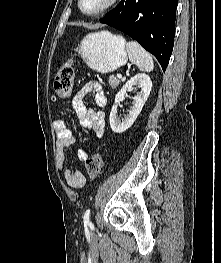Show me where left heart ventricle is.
<instances>
[{
    "instance_id": "1",
    "label": "left heart ventricle",
    "mask_w": 221,
    "mask_h": 263,
    "mask_svg": "<svg viewBox=\"0 0 221 263\" xmlns=\"http://www.w3.org/2000/svg\"><path fill=\"white\" fill-rule=\"evenodd\" d=\"M107 0H83V8L86 11L92 12L101 8Z\"/></svg>"
}]
</instances>
